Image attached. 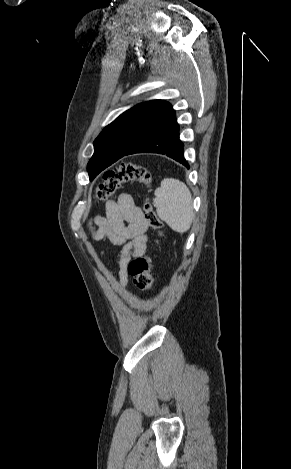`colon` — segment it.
<instances>
[{
	"instance_id": "colon-1",
	"label": "colon",
	"mask_w": 291,
	"mask_h": 469,
	"mask_svg": "<svg viewBox=\"0 0 291 469\" xmlns=\"http://www.w3.org/2000/svg\"><path fill=\"white\" fill-rule=\"evenodd\" d=\"M136 181L145 186H150L152 177L150 171L142 164L128 162L104 173L102 181L97 185L95 198L106 200L111 197L121 184ZM144 217L148 225L154 230L155 239L153 249L160 244L163 223L155 212L152 204L146 200L144 203ZM151 252L134 258L128 266V272L133 277L135 286L140 290H150L154 284L151 272Z\"/></svg>"
}]
</instances>
